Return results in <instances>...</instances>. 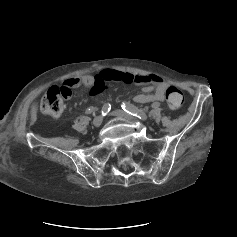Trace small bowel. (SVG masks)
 <instances>
[{
    "mask_svg": "<svg viewBox=\"0 0 237 237\" xmlns=\"http://www.w3.org/2000/svg\"><path fill=\"white\" fill-rule=\"evenodd\" d=\"M112 81L143 85V93L135 96V101L138 103L163 102L168 88V83L157 75H137L112 69L103 70L98 75H83L72 78L65 81V84H70L71 88L80 85L90 87L91 94L96 96L106 90ZM91 111L92 109H89V112Z\"/></svg>",
    "mask_w": 237,
    "mask_h": 237,
    "instance_id": "c3829d8e",
    "label": "small bowel"
}]
</instances>
